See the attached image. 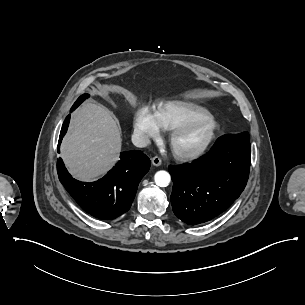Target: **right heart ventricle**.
<instances>
[{"label":"right heart ventricle","mask_w":305,"mask_h":305,"mask_svg":"<svg viewBox=\"0 0 305 305\" xmlns=\"http://www.w3.org/2000/svg\"><path fill=\"white\" fill-rule=\"evenodd\" d=\"M212 114L207 108L190 101H168L156 111L155 117L159 128L174 132L181 125Z\"/></svg>","instance_id":"obj_1"}]
</instances>
